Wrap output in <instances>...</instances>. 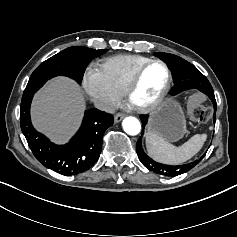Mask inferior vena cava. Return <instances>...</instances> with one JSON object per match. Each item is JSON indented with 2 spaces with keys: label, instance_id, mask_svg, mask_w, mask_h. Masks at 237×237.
<instances>
[{
  "label": "inferior vena cava",
  "instance_id": "602c4592",
  "mask_svg": "<svg viewBox=\"0 0 237 237\" xmlns=\"http://www.w3.org/2000/svg\"><path fill=\"white\" fill-rule=\"evenodd\" d=\"M94 105L97 109L106 111L108 113H115V111L119 108L117 103L110 102L104 98L94 99Z\"/></svg>",
  "mask_w": 237,
  "mask_h": 237
}]
</instances>
